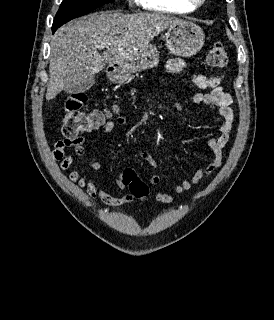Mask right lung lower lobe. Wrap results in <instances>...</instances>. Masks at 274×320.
I'll use <instances>...</instances> for the list:
<instances>
[{"mask_svg": "<svg viewBox=\"0 0 274 320\" xmlns=\"http://www.w3.org/2000/svg\"><path fill=\"white\" fill-rule=\"evenodd\" d=\"M58 28H52V33H54Z\"/></svg>", "mask_w": 274, "mask_h": 320, "instance_id": "right-lung-lower-lobe-1", "label": "right lung lower lobe"}]
</instances>
